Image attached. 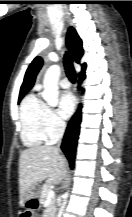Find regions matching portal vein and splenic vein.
<instances>
[{
    "label": "portal vein and splenic vein",
    "instance_id": "18ae733b",
    "mask_svg": "<svg viewBox=\"0 0 132 217\" xmlns=\"http://www.w3.org/2000/svg\"><path fill=\"white\" fill-rule=\"evenodd\" d=\"M54 191L53 190H50L49 192H48V198H52L53 196H54Z\"/></svg>",
    "mask_w": 132,
    "mask_h": 217
}]
</instances>
